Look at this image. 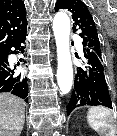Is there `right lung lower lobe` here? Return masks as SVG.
<instances>
[{"mask_svg": "<svg viewBox=\"0 0 117 136\" xmlns=\"http://www.w3.org/2000/svg\"><path fill=\"white\" fill-rule=\"evenodd\" d=\"M26 29L27 25L12 38L5 49L0 51V92H10L27 102V78L22 70L8 61L10 54L24 53ZM20 61L24 62L23 59Z\"/></svg>", "mask_w": 117, "mask_h": 136, "instance_id": "obj_1", "label": "right lung lower lobe"}]
</instances>
